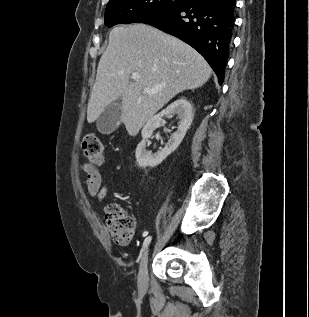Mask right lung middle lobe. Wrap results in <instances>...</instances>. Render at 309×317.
<instances>
[{
  "label": "right lung middle lobe",
  "mask_w": 309,
  "mask_h": 317,
  "mask_svg": "<svg viewBox=\"0 0 309 317\" xmlns=\"http://www.w3.org/2000/svg\"><path fill=\"white\" fill-rule=\"evenodd\" d=\"M186 0H110L105 11V25L129 24L138 18L174 8Z\"/></svg>",
  "instance_id": "1"
}]
</instances>
